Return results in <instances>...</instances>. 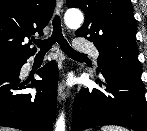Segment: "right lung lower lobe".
Masks as SVG:
<instances>
[{"instance_id":"98d812e1","label":"right lung lower lobe","mask_w":147,"mask_h":131,"mask_svg":"<svg viewBox=\"0 0 147 131\" xmlns=\"http://www.w3.org/2000/svg\"><path fill=\"white\" fill-rule=\"evenodd\" d=\"M29 58V57H28ZM14 70L0 71V126L22 131H52L56 115L58 69L55 62L41 68L37 74L42 78L26 85L20 82L19 73L27 59ZM36 87L35 97L19 93V90Z\"/></svg>"}]
</instances>
